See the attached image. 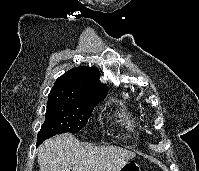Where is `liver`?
<instances>
[{
    "mask_svg": "<svg viewBox=\"0 0 199 171\" xmlns=\"http://www.w3.org/2000/svg\"><path fill=\"white\" fill-rule=\"evenodd\" d=\"M134 153L116 146H90L61 134L38 148L39 171H118Z\"/></svg>",
    "mask_w": 199,
    "mask_h": 171,
    "instance_id": "1",
    "label": "liver"
}]
</instances>
